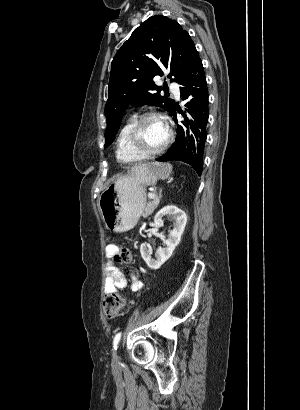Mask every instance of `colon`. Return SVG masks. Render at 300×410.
I'll return each mask as SVG.
<instances>
[{"mask_svg": "<svg viewBox=\"0 0 300 410\" xmlns=\"http://www.w3.org/2000/svg\"><path fill=\"white\" fill-rule=\"evenodd\" d=\"M132 259L131 251L127 247L119 248L115 253V261L120 264L130 263ZM124 306V299L116 292L106 293L103 299V311L106 317L115 318Z\"/></svg>", "mask_w": 300, "mask_h": 410, "instance_id": "5ec220e1", "label": "colon"}]
</instances>
